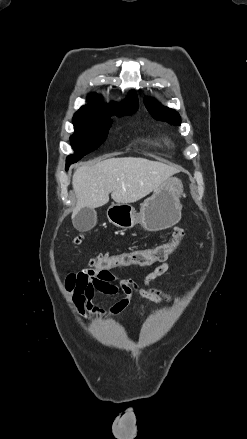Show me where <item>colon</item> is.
<instances>
[{"instance_id":"5ec220e1","label":"colon","mask_w":247,"mask_h":439,"mask_svg":"<svg viewBox=\"0 0 247 439\" xmlns=\"http://www.w3.org/2000/svg\"><path fill=\"white\" fill-rule=\"evenodd\" d=\"M184 235L185 230L179 227L174 232L171 240L167 243L152 248L132 250L116 255L101 254L91 258L89 265L91 269L101 272L116 267L148 266L156 262H164L176 250ZM82 239V236H78L75 239V243L80 244Z\"/></svg>"}]
</instances>
